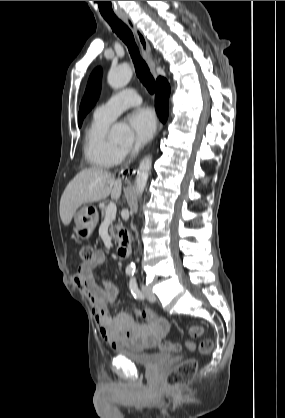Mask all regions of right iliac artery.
<instances>
[{
	"instance_id": "1",
	"label": "right iliac artery",
	"mask_w": 285,
	"mask_h": 418,
	"mask_svg": "<svg viewBox=\"0 0 285 418\" xmlns=\"http://www.w3.org/2000/svg\"><path fill=\"white\" fill-rule=\"evenodd\" d=\"M134 270L133 269H131V268H128L127 270H126V273L129 275V276H132L133 274H134Z\"/></svg>"
}]
</instances>
